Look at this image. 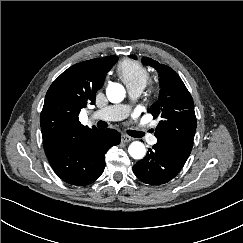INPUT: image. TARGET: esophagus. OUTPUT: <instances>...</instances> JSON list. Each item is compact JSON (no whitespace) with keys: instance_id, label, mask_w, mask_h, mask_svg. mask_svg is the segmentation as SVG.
Wrapping results in <instances>:
<instances>
[{"instance_id":"obj_1","label":"esophagus","mask_w":243,"mask_h":243,"mask_svg":"<svg viewBox=\"0 0 243 243\" xmlns=\"http://www.w3.org/2000/svg\"><path fill=\"white\" fill-rule=\"evenodd\" d=\"M121 140H122V142H130L132 140V138L128 135L123 134L121 136Z\"/></svg>"}]
</instances>
